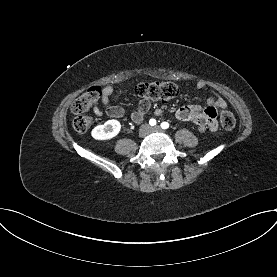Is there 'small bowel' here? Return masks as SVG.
I'll return each mask as SVG.
<instances>
[{
    "label": "small bowel",
    "instance_id": "small-bowel-1",
    "mask_svg": "<svg viewBox=\"0 0 277 277\" xmlns=\"http://www.w3.org/2000/svg\"><path fill=\"white\" fill-rule=\"evenodd\" d=\"M196 86L198 89L202 90L207 87V84L204 81H199ZM111 98L117 100L119 96L115 93V89L112 85H107L101 90V101L104 105H106V108L105 110H102L99 107L94 106L93 111L95 115H106L110 118H121L124 116L125 110L121 106L109 105ZM150 107L151 103L148 99L141 100L137 109L130 113V119L135 124H141ZM225 107L226 102L224 98L220 94L212 92V95L207 99L205 106L189 104L179 108L176 111L175 116L180 121L195 124L199 131H205L206 129L216 131L218 128L216 121L217 108ZM154 114L157 117H161L163 115V111L161 109H156Z\"/></svg>",
    "mask_w": 277,
    "mask_h": 277
}]
</instances>
